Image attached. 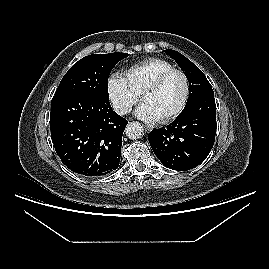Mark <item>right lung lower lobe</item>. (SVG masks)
I'll return each mask as SVG.
<instances>
[{
  "mask_svg": "<svg viewBox=\"0 0 269 269\" xmlns=\"http://www.w3.org/2000/svg\"><path fill=\"white\" fill-rule=\"evenodd\" d=\"M128 121L109 101L80 93L56 95L51 102V138L70 170L87 177L116 170Z\"/></svg>",
  "mask_w": 269,
  "mask_h": 269,
  "instance_id": "98d812e1",
  "label": "right lung lower lobe"
}]
</instances>
